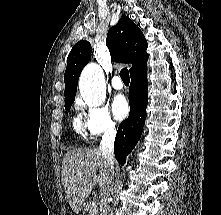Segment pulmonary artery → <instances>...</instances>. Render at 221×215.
Wrapping results in <instances>:
<instances>
[{
  "mask_svg": "<svg viewBox=\"0 0 221 215\" xmlns=\"http://www.w3.org/2000/svg\"><path fill=\"white\" fill-rule=\"evenodd\" d=\"M111 85L116 90H120L124 86L123 81L120 76H114L111 80Z\"/></svg>",
  "mask_w": 221,
  "mask_h": 215,
  "instance_id": "e3ab8cb5",
  "label": "pulmonary artery"
}]
</instances>
